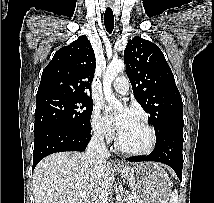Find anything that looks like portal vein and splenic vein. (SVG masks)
<instances>
[{"label": "portal vein and splenic vein", "mask_w": 214, "mask_h": 203, "mask_svg": "<svg viewBox=\"0 0 214 203\" xmlns=\"http://www.w3.org/2000/svg\"><path fill=\"white\" fill-rule=\"evenodd\" d=\"M79 193H80V195H81V196H85V192H83V191H80ZM127 200H128V203H130V202H129V200H130V197H128V198H127Z\"/></svg>", "instance_id": "obj_1"}]
</instances>
